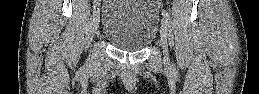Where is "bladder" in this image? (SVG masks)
Instances as JSON below:
<instances>
[{
	"label": "bladder",
	"mask_w": 259,
	"mask_h": 94,
	"mask_svg": "<svg viewBox=\"0 0 259 94\" xmlns=\"http://www.w3.org/2000/svg\"><path fill=\"white\" fill-rule=\"evenodd\" d=\"M159 14L149 0H108L102 11V34L116 48L133 52L157 36Z\"/></svg>",
	"instance_id": "bladder-1"
}]
</instances>
